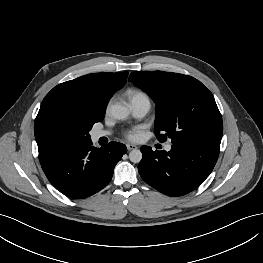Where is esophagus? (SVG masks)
I'll use <instances>...</instances> for the list:
<instances>
[{
    "label": "esophagus",
    "instance_id": "34e87169",
    "mask_svg": "<svg viewBox=\"0 0 263 263\" xmlns=\"http://www.w3.org/2000/svg\"><path fill=\"white\" fill-rule=\"evenodd\" d=\"M127 149L130 151V150H134V149H137V146L134 145V144H127Z\"/></svg>",
    "mask_w": 263,
    "mask_h": 263
}]
</instances>
